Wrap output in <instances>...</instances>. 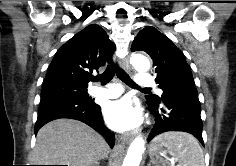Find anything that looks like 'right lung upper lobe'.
Segmentation results:
<instances>
[{
	"label": "right lung upper lobe",
	"instance_id": "cb5924a9",
	"mask_svg": "<svg viewBox=\"0 0 236 166\" xmlns=\"http://www.w3.org/2000/svg\"><path fill=\"white\" fill-rule=\"evenodd\" d=\"M114 49V43L100 26L88 25L58 49L44 84L87 87L90 72L110 62Z\"/></svg>",
	"mask_w": 236,
	"mask_h": 166
}]
</instances>
